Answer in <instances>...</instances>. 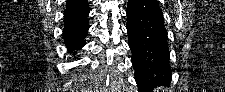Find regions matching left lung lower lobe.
<instances>
[{
	"mask_svg": "<svg viewBox=\"0 0 225 92\" xmlns=\"http://www.w3.org/2000/svg\"><path fill=\"white\" fill-rule=\"evenodd\" d=\"M128 44L139 92L171 81L167 30L155 0H128Z\"/></svg>",
	"mask_w": 225,
	"mask_h": 92,
	"instance_id": "left-lung-lower-lobe-1",
	"label": "left lung lower lobe"
}]
</instances>
